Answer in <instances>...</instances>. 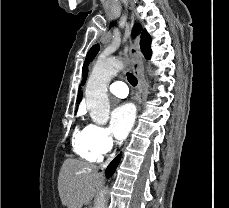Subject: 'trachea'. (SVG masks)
Returning a JSON list of instances; mask_svg holds the SVG:
<instances>
[{
	"label": "trachea",
	"instance_id": "obj_1",
	"mask_svg": "<svg viewBox=\"0 0 229 208\" xmlns=\"http://www.w3.org/2000/svg\"><path fill=\"white\" fill-rule=\"evenodd\" d=\"M126 76H127V80L130 83V85L132 86L137 85V78L132 73L127 72Z\"/></svg>",
	"mask_w": 229,
	"mask_h": 208
}]
</instances>
